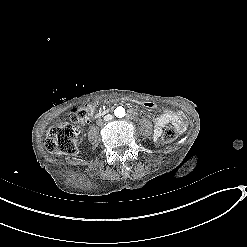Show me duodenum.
Instances as JSON below:
<instances>
[{"instance_id":"1","label":"duodenum","mask_w":247,"mask_h":247,"mask_svg":"<svg viewBox=\"0 0 247 247\" xmlns=\"http://www.w3.org/2000/svg\"><path fill=\"white\" fill-rule=\"evenodd\" d=\"M106 113H108V110L100 111V112H98V113L96 114V116L98 117V116L104 115V114H106Z\"/></svg>"}]
</instances>
